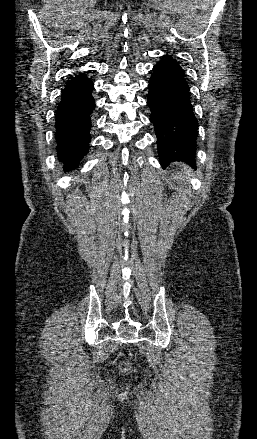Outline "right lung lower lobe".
I'll use <instances>...</instances> for the list:
<instances>
[{
    "mask_svg": "<svg viewBox=\"0 0 257 439\" xmlns=\"http://www.w3.org/2000/svg\"><path fill=\"white\" fill-rule=\"evenodd\" d=\"M93 83L84 74L72 78L62 92L56 115L58 159L64 169H75L88 153L91 113L95 109Z\"/></svg>",
    "mask_w": 257,
    "mask_h": 439,
    "instance_id": "right-lung-lower-lobe-1",
    "label": "right lung lower lobe"
}]
</instances>
